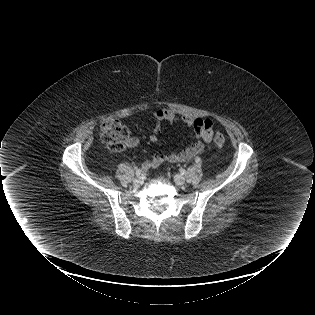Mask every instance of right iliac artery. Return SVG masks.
<instances>
[{
  "instance_id": "1",
  "label": "right iliac artery",
  "mask_w": 315,
  "mask_h": 315,
  "mask_svg": "<svg viewBox=\"0 0 315 315\" xmlns=\"http://www.w3.org/2000/svg\"><path fill=\"white\" fill-rule=\"evenodd\" d=\"M141 174H142V170H141V169H137V170H136V175H137V176H140Z\"/></svg>"
}]
</instances>
